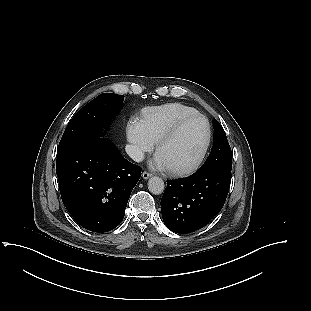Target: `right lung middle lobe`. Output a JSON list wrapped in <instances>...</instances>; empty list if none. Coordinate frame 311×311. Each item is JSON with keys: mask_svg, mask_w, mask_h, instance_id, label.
Wrapping results in <instances>:
<instances>
[{"mask_svg": "<svg viewBox=\"0 0 311 311\" xmlns=\"http://www.w3.org/2000/svg\"><path fill=\"white\" fill-rule=\"evenodd\" d=\"M124 95L103 93L85 105L70 120L61 138L57 155L82 139L99 137L98 129L106 128L111 118L123 108Z\"/></svg>", "mask_w": 311, "mask_h": 311, "instance_id": "1", "label": "right lung middle lobe"}]
</instances>
